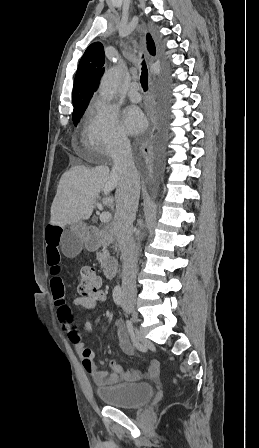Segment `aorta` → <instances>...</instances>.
I'll return each mask as SVG.
<instances>
[{
	"instance_id": "aorta-1",
	"label": "aorta",
	"mask_w": 259,
	"mask_h": 448,
	"mask_svg": "<svg viewBox=\"0 0 259 448\" xmlns=\"http://www.w3.org/2000/svg\"><path fill=\"white\" fill-rule=\"evenodd\" d=\"M120 82V71L118 68H111L106 71L100 81L99 94L106 101H111L117 92Z\"/></svg>"
}]
</instances>
